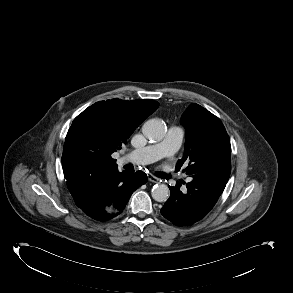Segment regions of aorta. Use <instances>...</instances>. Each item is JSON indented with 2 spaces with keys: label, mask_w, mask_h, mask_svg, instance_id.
Segmentation results:
<instances>
[{
  "label": "aorta",
  "mask_w": 293,
  "mask_h": 293,
  "mask_svg": "<svg viewBox=\"0 0 293 293\" xmlns=\"http://www.w3.org/2000/svg\"><path fill=\"white\" fill-rule=\"evenodd\" d=\"M142 132L146 138L153 142L161 141L166 134V126L160 119H150L142 127ZM152 198L157 202H165L170 195L167 185L157 184L152 188Z\"/></svg>",
  "instance_id": "1"
}]
</instances>
